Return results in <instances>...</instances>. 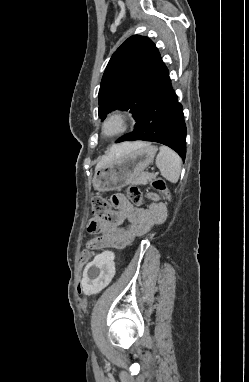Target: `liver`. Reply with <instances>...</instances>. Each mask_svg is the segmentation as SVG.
<instances>
[{
	"label": "liver",
	"instance_id": "1",
	"mask_svg": "<svg viewBox=\"0 0 249 382\" xmlns=\"http://www.w3.org/2000/svg\"><path fill=\"white\" fill-rule=\"evenodd\" d=\"M144 143L143 142H134V143H121L119 145H114L111 147L110 152L108 155H105L101 158V160L96 165V170L100 169L107 164L111 163L115 157H118L124 153H127L133 149H136L138 147H141Z\"/></svg>",
	"mask_w": 249,
	"mask_h": 382
}]
</instances>
